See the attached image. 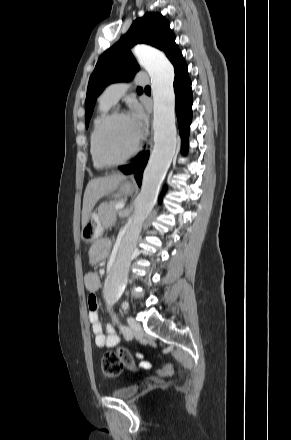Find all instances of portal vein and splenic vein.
Returning a JSON list of instances; mask_svg holds the SVG:
<instances>
[{"label": "portal vein and splenic vein", "instance_id": "18ae733b", "mask_svg": "<svg viewBox=\"0 0 291 440\" xmlns=\"http://www.w3.org/2000/svg\"><path fill=\"white\" fill-rule=\"evenodd\" d=\"M124 208V205L123 204H117L116 206H115V209H123Z\"/></svg>", "mask_w": 291, "mask_h": 440}]
</instances>
